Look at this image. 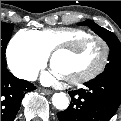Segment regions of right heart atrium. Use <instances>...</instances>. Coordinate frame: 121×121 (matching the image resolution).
<instances>
[{"mask_svg":"<svg viewBox=\"0 0 121 121\" xmlns=\"http://www.w3.org/2000/svg\"><path fill=\"white\" fill-rule=\"evenodd\" d=\"M7 59L10 68L22 78H32L44 66L46 55L30 40H21L18 34L9 43Z\"/></svg>","mask_w":121,"mask_h":121,"instance_id":"1","label":"right heart atrium"}]
</instances>
